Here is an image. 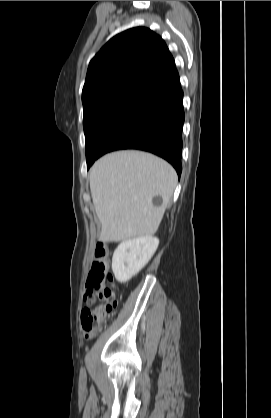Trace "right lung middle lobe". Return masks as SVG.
<instances>
[{
	"label": "right lung middle lobe",
	"instance_id": "dd1d6c3e",
	"mask_svg": "<svg viewBox=\"0 0 271 418\" xmlns=\"http://www.w3.org/2000/svg\"><path fill=\"white\" fill-rule=\"evenodd\" d=\"M150 103L138 96L120 95L84 107L87 169L98 158L109 138Z\"/></svg>",
	"mask_w": 271,
	"mask_h": 418
}]
</instances>
